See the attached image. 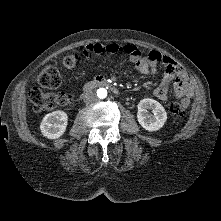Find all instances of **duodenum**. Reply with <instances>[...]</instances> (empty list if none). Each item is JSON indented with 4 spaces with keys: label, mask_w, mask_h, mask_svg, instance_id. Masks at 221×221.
<instances>
[{
    "label": "duodenum",
    "mask_w": 221,
    "mask_h": 221,
    "mask_svg": "<svg viewBox=\"0 0 221 221\" xmlns=\"http://www.w3.org/2000/svg\"><path fill=\"white\" fill-rule=\"evenodd\" d=\"M95 87H106V88L111 89L116 94L119 93V90L117 89V87H115L109 80L101 76H97L91 81L87 82L84 85V91L86 92L90 91L91 89Z\"/></svg>",
    "instance_id": "1"
}]
</instances>
